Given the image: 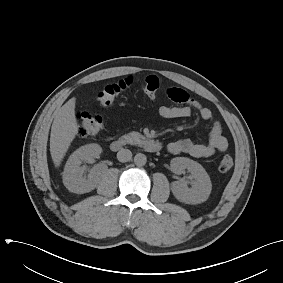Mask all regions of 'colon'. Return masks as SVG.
I'll return each mask as SVG.
<instances>
[{"mask_svg":"<svg viewBox=\"0 0 283 283\" xmlns=\"http://www.w3.org/2000/svg\"><path fill=\"white\" fill-rule=\"evenodd\" d=\"M133 84L131 78L120 80L109 84L99 93L98 99L103 106H110L116 97L124 90L130 88ZM160 87L158 77L150 75L141 82L142 91L148 96H154ZM105 120L100 115L82 112L78 115V134L81 137L95 136L101 132ZM233 167V159L229 155L221 157L218 169L220 172H228Z\"/></svg>","mask_w":283,"mask_h":283,"instance_id":"colon-1","label":"colon"}]
</instances>
